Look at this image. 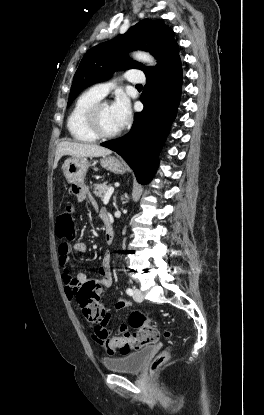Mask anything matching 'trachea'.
I'll return each instance as SVG.
<instances>
[{
	"label": "trachea",
	"instance_id": "1",
	"mask_svg": "<svg viewBox=\"0 0 264 415\" xmlns=\"http://www.w3.org/2000/svg\"><path fill=\"white\" fill-rule=\"evenodd\" d=\"M136 87H142V85L141 84H137Z\"/></svg>",
	"mask_w": 264,
	"mask_h": 415
}]
</instances>
